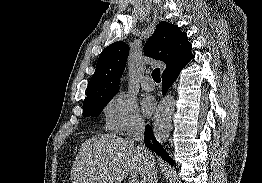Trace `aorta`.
Listing matches in <instances>:
<instances>
[{
  "mask_svg": "<svg viewBox=\"0 0 262 183\" xmlns=\"http://www.w3.org/2000/svg\"><path fill=\"white\" fill-rule=\"evenodd\" d=\"M175 110V100L167 95L160 101L154 116V135L159 143H165L171 131V122Z\"/></svg>",
  "mask_w": 262,
  "mask_h": 183,
  "instance_id": "aorta-1",
  "label": "aorta"
}]
</instances>
